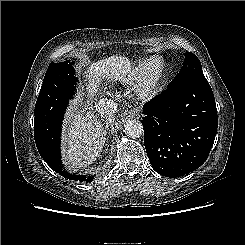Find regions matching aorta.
<instances>
[{"mask_svg":"<svg viewBox=\"0 0 245 245\" xmlns=\"http://www.w3.org/2000/svg\"><path fill=\"white\" fill-rule=\"evenodd\" d=\"M124 132L130 138H138L143 134V125L137 120H128L124 125Z\"/></svg>","mask_w":245,"mask_h":245,"instance_id":"762f6f07","label":"aorta"}]
</instances>
